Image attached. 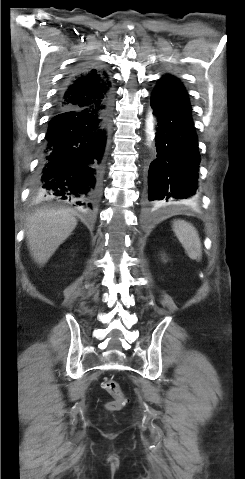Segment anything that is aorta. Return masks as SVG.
Segmentation results:
<instances>
[{
	"label": "aorta",
	"mask_w": 245,
	"mask_h": 479,
	"mask_svg": "<svg viewBox=\"0 0 245 479\" xmlns=\"http://www.w3.org/2000/svg\"><path fill=\"white\" fill-rule=\"evenodd\" d=\"M153 129H154L153 117L152 115H150L147 120V133L149 135V139H153L154 137Z\"/></svg>",
	"instance_id": "aorta-1"
}]
</instances>
